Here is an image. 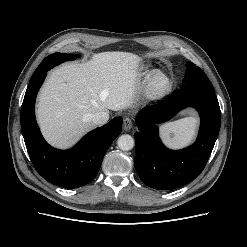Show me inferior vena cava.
Here are the masks:
<instances>
[{
  "instance_id": "1",
  "label": "inferior vena cava",
  "mask_w": 247,
  "mask_h": 247,
  "mask_svg": "<svg viewBox=\"0 0 247 247\" xmlns=\"http://www.w3.org/2000/svg\"><path fill=\"white\" fill-rule=\"evenodd\" d=\"M92 122L96 125H103L108 122L109 114L105 111H98L91 116Z\"/></svg>"
}]
</instances>
